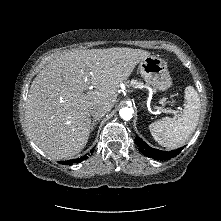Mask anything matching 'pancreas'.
Instances as JSON below:
<instances>
[{"instance_id":"1","label":"pancreas","mask_w":221,"mask_h":221,"mask_svg":"<svg viewBox=\"0 0 221 221\" xmlns=\"http://www.w3.org/2000/svg\"><path fill=\"white\" fill-rule=\"evenodd\" d=\"M141 85H142V83L138 82L137 80L130 81V86H132V87H140Z\"/></svg>"}]
</instances>
